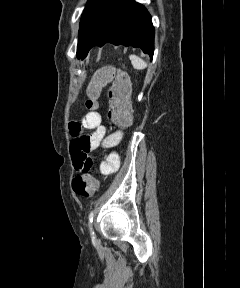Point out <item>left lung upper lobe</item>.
<instances>
[{
	"instance_id": "obj_1",
	"label": "left lung upper lobe",
	"mask_w": 240,
	"mask_h": 288,
	"mask_svg": "<svg viewBox=\"0 0 240 288\" xmlns=\"http://www.w3.org/2000/svg\"><path fill=\"white\" fill-rule=\"evenodd\" d=\"M110 0H89L80 22L77 52L84 46L103 16Z\"/></svg>"
}]
</instances>
